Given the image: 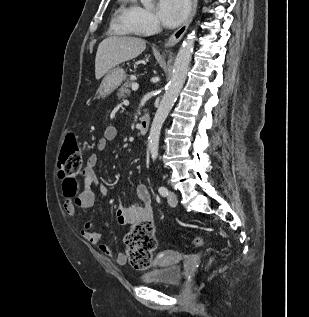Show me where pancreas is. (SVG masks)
I'll list each match as a JSON object with an SVG mask.
<instances>
[{
  "label": "pancreas",
  "instance_id": "obj_1",
  "mask_svg": "<svg viewBox=\"0 0 309 317\" xmlns=\"http://www.w3.org/2000/svg\"><path fill=\"white\" fill-rule=\"evenodd\" d=\"M133 84V81L131 79H127L124 84L121 86V88L119 89L117 96L119 99L121 98H126L127 96L130 95L131 91H130V87Z\"/></svg>",
  "mask_w": 309,
  "mask_h": 317
}]
</instances>
